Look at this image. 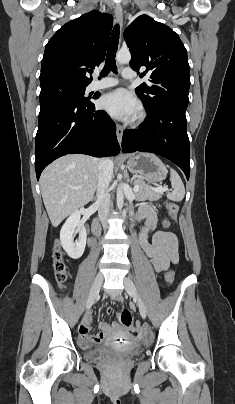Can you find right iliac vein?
I'll return each mask as SVG.
<instances>
[{
	"mask_svg": "<svg viewBox=\"0 0 235 404\" xmlns=\"http://www.w3.org/2000/svg\"><path fill=\"white\" fill-rule=\"evenodd\" d=\"M103 283V275L101 273L97 274L94 283L91 288V292L87 301L86 311H88L93 303L95 302L96 298L98 297L99 291L101 289Z\"/></svg>",
	"mask_w": 235,
	"mask_h": 404,
	"instance_id": "63e3f726",
	"label": "right iliac vein"
}]
</instances>
